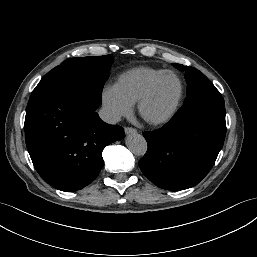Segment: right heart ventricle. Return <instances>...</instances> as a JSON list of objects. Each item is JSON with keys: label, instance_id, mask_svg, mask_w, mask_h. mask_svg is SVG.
I'll use <instances>...</instances> for the list:
<instances>
[{"label": "right heart ventricle", "instance_id": "obj_1", "mask_svg": "<svg viewBox=\"0 0 257 257\" xmlns=\"http://www.w3.org/2000/svg\"><path fill=\"white\" fill-rule=\"evenodd\" d=\"M164 71L152 67L133 68L120 74L113 87L127 102L135 105L149 83Z\"/></svg>", "mask_w": 257, "mask_h": 257}]
</instances>
